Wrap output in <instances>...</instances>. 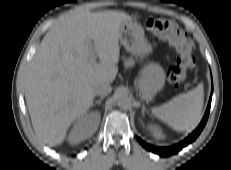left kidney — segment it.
Segmentation results:
<instances>
[{
  "label": "left kidney",
  "mask_w": 231,
  "mask_h": 170,
  "mask_svg": "<svg viewBox=\"0 0 231 170\" xmlns=\"http://www.w3.org/2000/svg\"><path fill=\"white\" fill-rule=\"evenodd\" d=\"M149 129L153 132V134L156 138H159V139L164 138V134H163L162 130L160 128H158L157 126L151 124L149 126Z\"/></svg>",
  "instance_id": "left-kidney-1"
}]
</instances>
